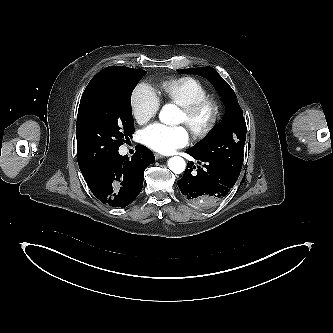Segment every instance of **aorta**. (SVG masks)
<instances>
[{
	"mask_svg": "<svg viewBox=\"0 0 333 333\" xmlns=\"http://www.w3.org/2000/svg\"><path fill=\"white\" fill-rule=\"evenodd\" d=\"M178 113L179 110L175 105L166 104L159 113V119L164 124H175ZM168 166L173 173L180 174L185 170L186 163L183 158L175 156L168 160Z\"/></svg>",
	"mask_w": 333,
	"mask_h": 333,
	"instance_id": "1",
	"label": "aorta"
}]
</instances>
